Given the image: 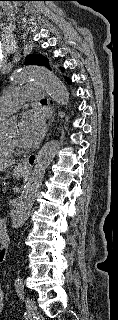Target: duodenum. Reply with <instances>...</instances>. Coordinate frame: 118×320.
<instances>
[{"instance_id":"obj_1","label":"duodenum","mask_w":118,"mask_h":320,"mask_svg":"<svg viewBox=\"0 0 118 320\" xmlns=\"http://www.w3.org/2000/svg\"><path fill=\"white\" fill-rule=\"evenodd\" d=\"M9 240L10 238L6 230V224L0 220V244L2 247V250H0V252H4V250L8 247Z\"/></svg>"}]
</instances>
